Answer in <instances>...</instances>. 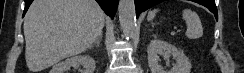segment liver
<instances>
[{"mask_svg": "<svg viewBox=\"0 0 244 73\" xmlns=\"http://www.w3.org/2000/svg\"><path fill=\"white\" fill-rule=\"evenodd\" d=\"M104 24L94 0H34L23 27L27 67L37 73L84 52L102 35Z\"/></svg>", "mask_w": 244, "mask_h": 73, "instance_id": "obj_1", "label": "liver"}]
</instances>
